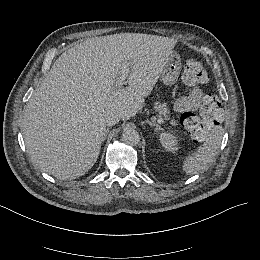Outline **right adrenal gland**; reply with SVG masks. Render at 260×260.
<instances>
[{
	"mask_svg": "<svg viewBox=\"0 0 260 260\" xmlns=\"http://www.w3.org/2000/svg\"><path fill=\"white\" fill-rule=\"evenodd\" d=\"M108 132H109V128H107V129L105 130V134H108Z\"/></svg>",
	"mask_w": 260,
	"mask_h": 260,
	"instance_id": "right-adrenal-gland-1",
	"label": "right adrenal gland"
}]
</instances>
